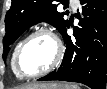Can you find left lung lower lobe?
I'll list each match as a JSON object with an SVG mask.
<instances>
[{"label":"left lung lower lobe","instance_id":"obj_1","mask_svg":"<svg viewBox=\"0 0 107 89\" xmlns=\"http://www.w3.org/2000/svg\"><path fill=\"white\" fill-rule=\"evenodd\" d=\"M82 14L74 39L61 33L66 52L60 67L39 80L78 82L105 89L107 78V0H81ZM69 26V24L67 25Z\"/></svg>","mask_w":107,"mask_h":89}]
</instances>
